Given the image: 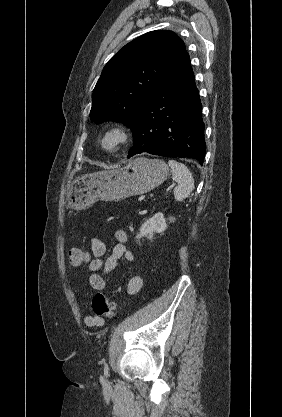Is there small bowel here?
I'll return each instance as SVG.
<instances>
[{
    "label": "small bowel",
    "mask_w": 282,
    "mask_h": 417,
    "mask_svg": "<svg viewBox=\"0 0 282 417\" xmlns=\"http://www.w3.org/2000/svg\"><path fill=\"white\" fill-rule=\"evenodd\" d=\"M114 237L117 244L114 246L112 253L106 256L105 243L98 237H91V250L93 259L89 261L88 268L90 271L89 284L93 290L101 291L106 287V277L117 266L118 260L125 258L127 262H135L134 254L128 249V235L124 229L118 228L114 231ZM143 286V278L139 273L133 275L127 284V293L134 295L138 293ZM84 322L89 327H102L105 320L102 316L89 314L85 316Z\"/></svg>",
    "instance_id": "obj_1"
}]
</instances>
